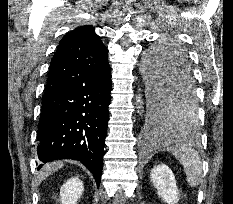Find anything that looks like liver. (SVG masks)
<instances>
[{
    "label": "liver",
    "instance_id": "1",
    "mask_svg": "<svg viewBox=\"0 0 233 204\" xmlns=\"http://www.w3.org/2000/svg\"><path fill=\"white\" fill-rule=\"evenodd\" d=\"M62 167H63L62 161H55V162L45 165L40 175L38 176L39 183L43 181L44 179H46L52 173L58 171Z\"/></svg>",
    "mask_w": 233,
    "mask_h": 204
}]
</instances>
